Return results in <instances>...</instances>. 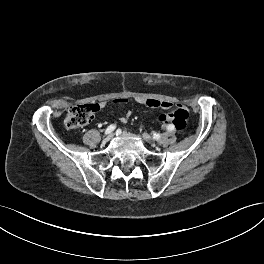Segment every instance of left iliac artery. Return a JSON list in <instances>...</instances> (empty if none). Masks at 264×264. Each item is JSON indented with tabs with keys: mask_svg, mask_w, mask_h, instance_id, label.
Masks as SVG:
<instances>
[{
	"mask_svg": "<svg viewBox=\"0 0 264 264\" xmlns=\"http://www.w3.org/2000/svg\"><path fill=\"white\" fill-rule=\"evenodd\" d=\"M167 130H168V131H172V130H174V126H173V125H169V126L167 127Z\"/></svg>",
	"mask_w": 264,
	"mask_h": 264,
	"instance_id": "obj_1",
	"label": "left iliac artery"
}]
</instances>
